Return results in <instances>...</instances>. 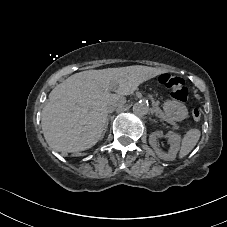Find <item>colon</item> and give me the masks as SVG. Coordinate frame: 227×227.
<instances>
[{
    "label": "colon",
    "mask_w": 227,
    "mask_h": 227,
    "mask_svg": "<svg viewBox=\"0 0 227 227\" xmlns=\"http://www.w3.org/2000/svg\"><path fill=\"white\" fill-rule=\"evenodd\" d=\"M159 82L170 91L171 96L175 100L184 102L188 99L189 92L182 78L164 73L159 77ZM201 117L202 112L200 109L195 108L192 110V118L194 120H200Z\"/></svg>",
    "instance_id": "1"
}]
</instances>
